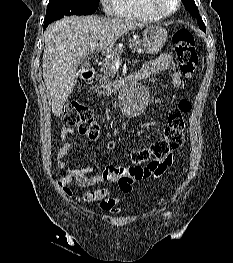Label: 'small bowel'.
<instances>
[{
    "label": "small bowel",
    "mask_w": 233,
    "mask_h": 263,
    "mask_svg": "<svg viewBox=\"0 0 233 263\" xmlns=\"http://www.w3.org/2000/svg\"><path fill=\"white\" fill-rule=\"evenodd\" d=\"M141 70L146 74V77L159 74L164 71H170V82L175 88H180L182 85V79L180 75L175 71V63L171 55L162 54L157 59L146 63ZM74 131L71 128H63L61 131V147L57 158V165L59 168L66 172V175L59 180V186L64 192L72 196L71 191L67 188V185L76 179L79 186L84 188L97 187L103 184H117L118 189L123 193H129L132 191V185L137 180L146 179L153 174L151 168H143V175L140 177H134L126 174H122L120 169L123 166L106 165L101 171H98L95 166H87L84 168L74 167L67 163L65 158L70 152L71 142L68 140V136L73 134ZM84 202H99L100 209L104 212H112L116 209L119 202V197L113 195L110 188L98 187L95 189L87 190L83 196Z\"/></svg>",
    "instance_id": "1"
}]
</instances>
